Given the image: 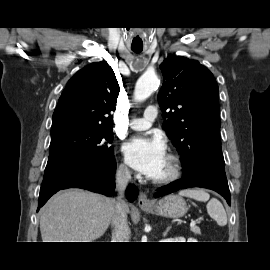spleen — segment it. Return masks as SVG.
<instances>
[{
	"label": "spleen",
	"mask_w": 270,
	"mask_h": 270,
	"mask_svg": "<svg viewBox=\"0 0 270 270\" xmlns=\"http://www.w3.org/2000/svg\"><path fill=\"white\" fill-rule=\"evenodd\" d=\"M180 196L189 197L197 201L206 202L209 200L210 195L204 190L200 189H186L179 192ZM208 214L215 219L219 226L227 224V215L221 202L216 198H212L207 203Z\"/></svg>",
	"instance_id": "3e777b00"
}]
</instances>
